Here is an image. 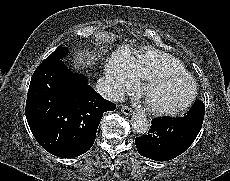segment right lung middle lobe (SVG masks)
I'll use <instances>...</instances> for the list:
<instances>
[{
	"mask_svg": "<svg viewBox=\"0 0 230 181\" xmlns=\"http://www.w3.org/2000/svg\"><path fill=\"white\" fill-rule=\"evenodd\" d=\"M68 49L59 46L50 56H48L42 63H49L63 58L67 54Z\"/></svg>",
	"mask_w": 230,
	"mask_h": 181,
	"instance_id": "obj_1",
	"label": "right lung middle lobe"
}]
</instances>
